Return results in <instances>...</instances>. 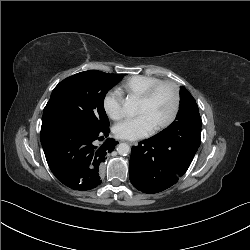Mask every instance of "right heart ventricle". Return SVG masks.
Wrapping results in <instances>:
<instances>
[{
	"mask_svg": "<svg viewBox=\"0 0 250 250\" xmlns=\"http://www.w3.org/2000/svg\"><path fill=\"white\" fill-rule=\"evenodd\" d=\"M162 81L156 76L150 75H135L124 80L120 85V90L128 97H139L149 87Z\"/></svg>",
	"mask_w": 250,
	"mask_h": 250,
	"instance_id": "1",
	"label": "right heart ventricle"
}]
</instances>
